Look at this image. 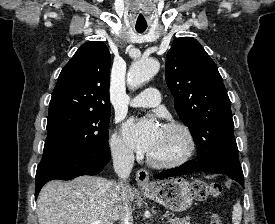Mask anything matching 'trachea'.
Masks as SVG:
<instances>
[{
    "mask_svg": "<svg viewBox=\"0 0 275 224\" xmlns=\"http://www.w3.org/2000/svg\"><path fill=\"white\" fill-rule=\"evenodd\" d=\"M147 26H136V31L143 33L146 30Z\"/></svg>",
    "mask_w": 275,
    "mask_h": 224,
    "instance_id": "trachea-1",
    "label": "trachea"
}]
</instances>
